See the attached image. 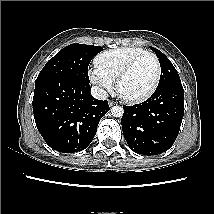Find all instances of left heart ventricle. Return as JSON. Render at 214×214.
<instances>
[{
    "instance_id": "left-heart-ventricle-1",
    "label": "left heart ventricle",
    "mask_w": 214,
    "mask_h": 214,
    "mask_svg": "<svg viewBox=\"0 0 214 214\" xmlns=\"http://www.w3.org/2000/svg\"><path fill=\"white\" fill-rule=\"evenodd\" d=\"M156 67L150 57L141 59L126 76L120 86L122 94L137 97L145 94L153 85Z\"/></svg>"
}]
</instances>
